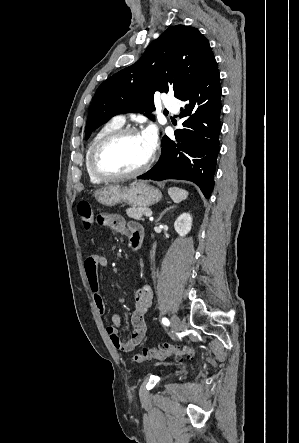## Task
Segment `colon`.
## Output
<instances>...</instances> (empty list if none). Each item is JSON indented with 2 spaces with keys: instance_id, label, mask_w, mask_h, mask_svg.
Masks as SVG:
<instances>
[{
  "instance_id": "5ec220e1",
  "label": "colon",
  "mask_w": 299,
  "mask_h": 443,
  "mask_svg": "<svg viewBox=\"0 0 299 443\" xmlns=\"http://www.w3.org/2000/svg\"><path fill=\"white\" fill-rule=\"evenodd\" d=\"M78 215L80 218L81 227L85 230H89L94 226L95 214L92 206L87 201H81L78 204ZM195 355L193 348L189 346H177L173 344H164L157 348L145 349L134 355V361L136 363H144L151 359H165L170 356L177 358L188 357L191 358Z\"/></svg>"
}]
</instances>
